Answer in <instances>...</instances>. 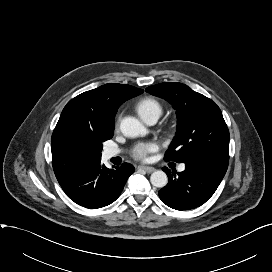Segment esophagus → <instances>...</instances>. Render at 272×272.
Masks as SVG:
<instances>
[{
	"instance_id": "obj_1",
	"label": "esophagus",
	"mask_w": 272,
	"mask_h": 272,
	"mask_svg": "<svg viewBox=\"0 0 272 272\" xmlns=\"http://www.w3.org/2000/svg\"><path fill=\"white\" fill-rule=\"evenodd\" d=\"M138 168H139L140 170H144V171L147 172V173H151V172H154V171H155V168L150 167V166L140 165Z\"/></svg>"
}]
</instances>
